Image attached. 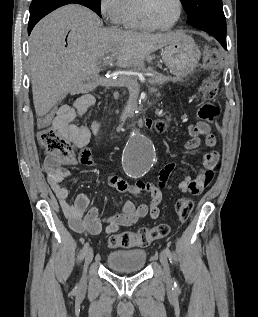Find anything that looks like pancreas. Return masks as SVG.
<instances>
[{
  "mask_svg": "<svg viewBox=\"0 0 258 317\" xmlns=\"http://www.w3.org/2000/svg\"><path fill=\"white\" fill-rule=\"evenodd\" d=\"M107 80L109 83H117L120 88L125 87L127 93H133L134 90H136V92L143 90L145 93H150L154 90L155 93H160L161 84L166 81L163 77H150L146 78V83H140L137 78H115L114 76H109Z\"/></svg>",
  "mask_w": 258,
  "mask_h": 317,
  "instance_id": "1",
  "label": "pancreas"
}]
</instances>
